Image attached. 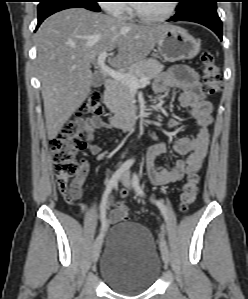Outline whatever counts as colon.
Here are the masks:
<instances>
[{"label":"colon","instance_id":"1","mask_svg":"<svg viewBox=\"0 0 248 299\" xmlns=\"http://www.w3.org/2000/svg\"><path fill=\"white\" fill-rule=\"evenodd\" d=\"M201 68L203 75V92L210 96L218 92L221 87V76L214 55L205 51L201 55ZM104 108L100 94L91 92L80 107L82 115L99 116ZM86 147V141L81 131L70 122L62 131L50 141V150L53 162V172L57 179L60 192L66 202L74 205L81 196L82 183L86 172L85 163L79 159V153ZM200 176L193 171L187 177L180 194V210L186 212L193 204L199 190ZM122 221H127L128 208L121 204L118 209Z\"/></svg>","mask_w":248,"mask_h":299}]
</instances>
